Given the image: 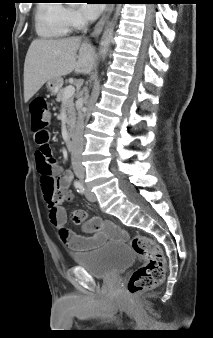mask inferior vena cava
I'll list each match as a JSON object with an SVG mask.
<instances>
[{"label":"inferior vena cava","mask_w":213,"mask_h":338,"mask_svg":"<svg viewBox=\"0 0 213 338\" xmlns=\"http://www.w3.org/2000/svg\"><path fill=\"white\" fill-rule=\"evenodd\" d=\"M86 31L87 29L85 28L84 33H86ZM83 130H84V114L82 113L81 110H79L71 152L73 171L79 179H83L85 174V170L82 165V152L84 146Z\"/></svg>","instance_id":"602c4592"}]
</instances>
